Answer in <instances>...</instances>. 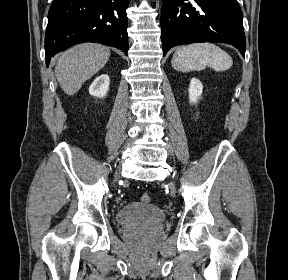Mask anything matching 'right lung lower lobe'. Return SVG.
<instances>
[{
  "label": "right lung lower lobe",
  "instance_id": "right-lung-lower-lobe-1",
  "mask_svg": "<svg viewBox=\"0 0 288 280\" xmlns=\"http://www.w3.org/2000/svg\"><path fill=\"white\" fill-rule=\"evenodd\" d=\"M130 0H53L45 35L46 64L57 53L82 42L128 51Z\"/></svg>",
  "mask_w": 288,
  "mask_h": 280
}]
</instances>
